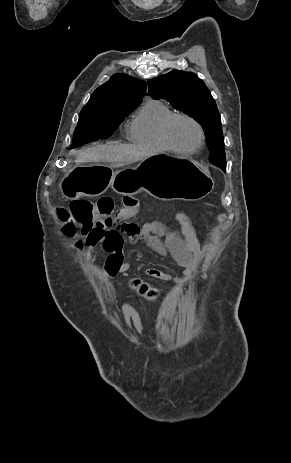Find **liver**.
Segmentation results:
<instances>
[{
  "label": "liver",
  "mask_w": 291,
  "mask_h": 463,
  "mask_svg": "<svg viewBox=\"0 0 291 463\" xmlns=\"http://www.w3.org/2000/svg\"><path fill=\"white\" fill-rule=\"evenodd\" d=\"M156 154H158V151L153 148L109 143L91 146L79 152L76 162L93 164L103 162L108 163L110 167H120Z\"/></svg>",
  "instance_id": "6515ba94"
}]
</instances>
